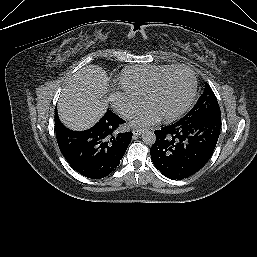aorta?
Returning a JSON list of instances; mask_svg holds the SVG:
<instances>
[{
    "instance_id": "762f6f07",
    "label": "aorta",
    "mask_w": 257,
    "mask_h": 257,
    "mask_svg": "<svg viewBox=\"0 0 257 257\" xmlns=\"http://www.w3.org/2000/svg\"><path fill=\"white\" fill-rule=\"evenodd\" d=\"M156 136L152 131L146 130L142 133V141L147 145L154 144Z\"/></svg>"
}]
</instances>
